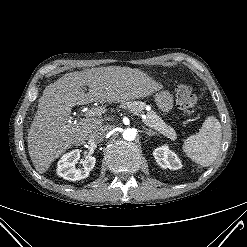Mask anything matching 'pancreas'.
Wrapping results in <instances>:
<instances>
[{
    "label": "pancreas",
    "instance_id": "pancreas-1",
    "mask_svg": "<svg viewBox=\"0 0 247 247\" xmlns=\"http://www.w3.org/2000/svg\"><path fill=\"white\" fill-rule=\"evenodd\" d=\"M121 107L124 109L128 108V109L137 111L138 113H142L146 108V104L144 102L134 101V102L123 103ZM143 122L148 127L154 129L155 131L169 138L170 140L172 141L176 140L177 135H176L175 130L169 125H167L162 120V118L156 114V112L152 110L148 111L146 114V118L143 119Z\"/></svg>",
    "mask_w": 247,
    "mask_h": 247
}]
</instances>
